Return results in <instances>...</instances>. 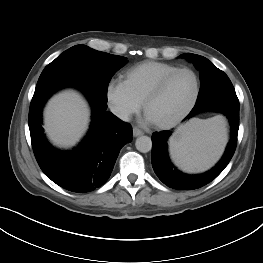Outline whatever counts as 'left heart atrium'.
I'll list each match as a JSON object with an SVG mask.
<instances>
[{
	"mask_svg": "<svg viewBox=\"0 0 263 263\" xmlns=\"http://www.w3.org/2000/svg\"><path fill=\"white\" fill-rule=\"evenodd\" d=\"M146 120L148 121V122H151V120H150V118L147 116L146 117Z\"/></svg>",
	"mask_w": 263,
	"mask_h": 263,
	"instance_id": "1",
	"label": "left heart atrium"
}]
</instances>
